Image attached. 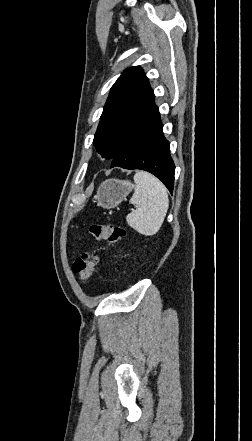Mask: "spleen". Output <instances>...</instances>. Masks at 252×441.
Wrapping results in <instances>:
<instances>
[{"label":"spleen","instance_id":"spleen-1","mask_svg":"<svg viewBox=\"0 0 252 441\" xmlns=\"http://www.w3.org/2000/svg\"><path fill=\"white\" fill-rule=\"evenodd\" d=\"M134 182L130 203L137 205V209L128 214L126 220L140 234L152 236L162 226L169 207L167 189L159 179L145 171H137Z\"/></svg>","mask_w":252,"mask_h":441}]
</instances>
